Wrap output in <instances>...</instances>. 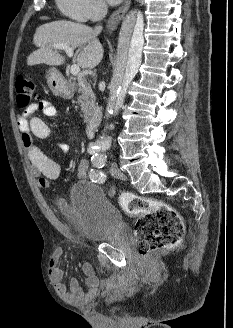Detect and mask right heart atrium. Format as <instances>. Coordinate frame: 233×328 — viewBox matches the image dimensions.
Returning a JSON list of instances; mask_svg holds the SVG:
<instances>
[{"mask_svg":"<svg viewBox=\"0 0 233 328\" xmlns=\"http://www.w3.org/2000/svg\"><path fill=\"white\" fill-rule=\"evenodd\" d=\"M59 9L67 17L87 22L103 15L106 5L103 0H56Z\"/></svg>","mask_w":233,"mask_h":328,"instance_id":"d8ad5b80","label":"right heart atrium"}]
</instances>
